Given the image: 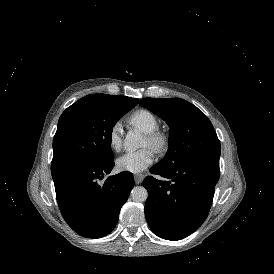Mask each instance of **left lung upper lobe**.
I'll return each instance as SVG.
<instances>
[{
	"label": "left lung upper lobe",
	"mask_w": 274,
	"mask_h": 274,
	"mask_svg": "<svg viewBox=\"0 0 274 274\" xmlns=\"http://www.w3.org/2000/svg\"><path fill=\"white\" fill-rule=\"evenodd\" d=\"M139 104L170 127L169 149L159 164L166 167L197 161L219 164L220 141L210 120L196 106L179 98H144Z\"/></svg>",
	"instance_id": "left-lung-upper-lobe-1"
}]
</instances>
